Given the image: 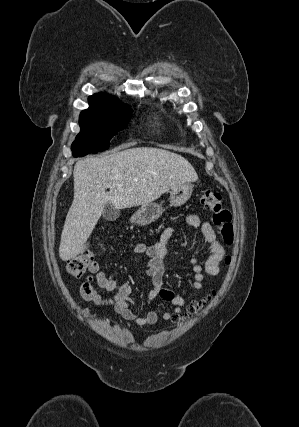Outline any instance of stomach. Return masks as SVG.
<instances>
[{
    "mask_svg": "<svg viewBox=\"0 0 299 427\" xmlns=\"http://www.w3.org/2000/svg\"><path fill=\"white\" fill-rule=\"evenodd\" d=\"M192 192L193 185L190 182L172 187L170 191V206H182L189 200ZM163 211L161 205L157 203L144 204L134 213L131 221L138 225H147L157 220Z\"/></svg>",
    "mask_w": 299,
    "mask_h": 427,
    "instance_id": "0dacf381",
    "label": "stomach"
}]
</instances>
